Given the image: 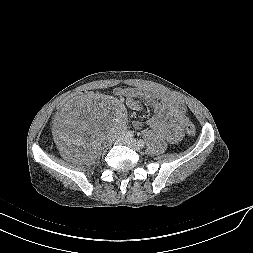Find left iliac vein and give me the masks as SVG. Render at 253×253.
Masks as SVG:
<instances>
[{
  "instance_id": "1",
  "label": "left iliac vein",
  "mask_w": 253,
  "mask_h": 253,
  "mask_svg": "<svg viewBox=\"0 0 253 253\" xmlns=\"http://www.w3.org/2000/svg\"><path fill=\"white\" fill-rule=\"evenodd\" d=\"M122 144L129 146L130 148L134 149L135 151H139L140 147L137 141L133 137H125Z\"/></svg>"
}]
</instances>
